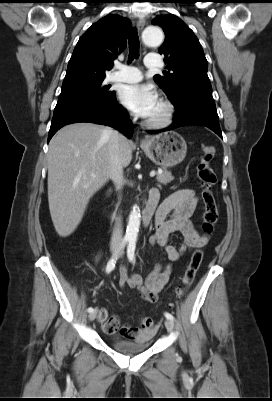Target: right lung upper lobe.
Here are the masks:
<instances>
[{"label":"right lung upper lobe","mask_w":272,"mask_h":401,"mask_svg":"<svg viewBox=\"0 0 272 401\" xmlns=\"http://www.w3.org/2000/svg\"><path fill=\"white\" fill-rule=\"evenodd\" d=\"M129 19L109 14L79 39L70 58L62 90L104 80L105 71L126 48Z\"/></svg>","instance_id":"cb5924a9"}]
</instances>
